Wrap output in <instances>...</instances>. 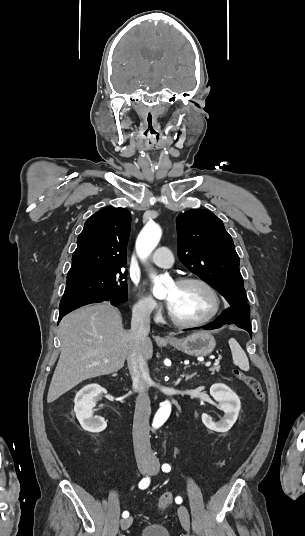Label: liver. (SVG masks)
<instances>
[{"instance_id": "6515ba94", "label": "liver", "mask_w": 305, "mask_h": 536, "mask_svg": "<svg viewBox=\"0 0 305 536\" xmlns=\"http://www.w3.org/2000/svg\"><path fill=\"white\" fill-rule=\"evenodd\" d=\"M59 332L61 354L48 390V404L83 380L121 370L133 346L117 308L110 302L90 304L68 314L61 320ZM141 352L145 360L152 358L150 338L142 344Z\"/></svg>"}]
</instances>
